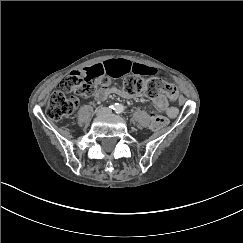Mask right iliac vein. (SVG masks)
<instances>
[{
    "label": "right iliac vein",
    "mask_w": 243,
    "mask_h": 243,
    "mask_svg": "<svg viewBox=\"0 0 243 243\" xmlns=\"http://www.w3.org/2000/svg\"><path fill=\"white\" fill-rule=\"evenodd\" d=\"M104 112L105 111L103 109H99V110L96 111V115L100 116V115L104 114Z\"/></svg>",
    "instance_id": "1"
}]
</instances>
